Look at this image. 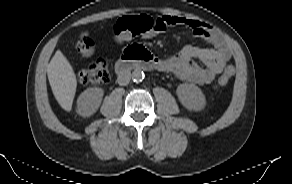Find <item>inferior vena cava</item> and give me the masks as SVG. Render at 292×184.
<instances>
[{"mask_svg":"<svg viewBox=\"0 0 292 184\" xmlns=\"http://www.w3.org/2000/svg\"><path fill=\"white\" fill-rule=\"evenodd\" d=\"M130 80H131V73L129 71L121 72L117 78V82L121 86H125L129 84Z\"/></svg>","mask_w":292,"mask_h":184,"instance_id":"inferior-vena-cava-1","label":"inferior vena cava"}]
</instances>
